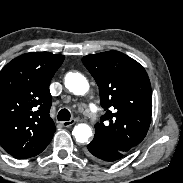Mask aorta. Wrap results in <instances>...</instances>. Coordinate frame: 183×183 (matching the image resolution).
<instances>
[{
    "instance_id": "762f6f07",
    "label": "aorta",
    "mask_w": 183,
    "mask_h": 183,
    "mask_svg": "<svg viewBox=\"0 0 183 183\" xmlns=\"http://www.w3.org/2000/svg\"><path fill=\"white\" fill-rule=\"evenodd\" d=\"M65 87L75 95H84L89 90V83L82 74L69 72L65 76ZM73 136L80 143H86L92 136V130L87 124H78L72 131Z\"/></svg>"
}]
</instances>
